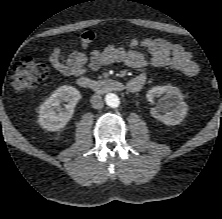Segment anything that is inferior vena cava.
Instances as JSON below:
<instances>
[{"label": "inferior vena cava", "instance_id": "1", "mask_svg": "<svg viewBox=\"0 0 222 219\" xmlns=\"http://www.w3.org/2000/svg\"><path fill=\"white\" fill-rule=\"evenodd\" d=\"M91 104L95 109H101L104 105L103 99L100 95H93L91 97Z\"/></svg>", "mask_w": 222, "mask_h": 219}]
</instances>
